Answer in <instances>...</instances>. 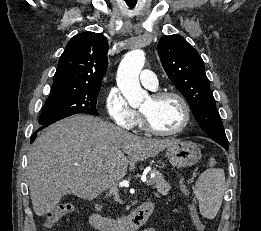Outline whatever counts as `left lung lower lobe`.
I'll list each match as a JSON object with an SVG mask.
<instances>
[{
	"label": "left lung lower lobe",
	"mask_w": 261,
	"mask_h": 231,
	"mask_svg": "<svg viewBox=\"0 0 261 231\" xmlns=\"http://www.w3.org/2000/svg\"><path fill=\"white\" fill-rule=\"evenodd\" d=\"M217 143H219L220 145H222L226 150H228V142H223L220 140H215Z\"/></svg>",
	"instance_id": "obj_1"
}]
</instances>
